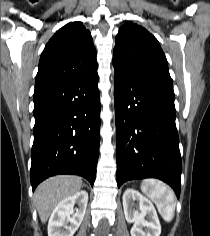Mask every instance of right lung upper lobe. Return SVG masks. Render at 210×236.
Wrapping results in <instances>:
<instances>
[{
    "instance_id": "obj_1",
    "label": "right lung upper lobe",
    "mask_w": 210,
    "mask_h": 236,
    "mask_svg": "<svg viewBox=\"0 0 210 236\" xmlns=\"http://www.w3.org/2000/svg\"><path fill=\"white\" fill-rule=\"evenodd\" d=\"M96 50L82 22L62 27L45 46L35 81V92L48 91L97 70Z\"/></svg>"
}]
</instances>
